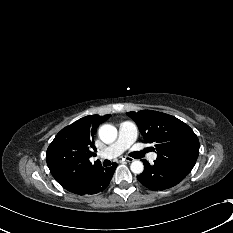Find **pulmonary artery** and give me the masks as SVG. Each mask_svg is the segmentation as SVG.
<instances>
[{
  "label": "pulmonary artery",
  "mask_w": 233,
  "mask_h": 233,
  "mask_svg": "<svg viewBox=\"0 0 233 233\" xmlns=\"http://www.w3.org/2000/svg\"><path fill=\"white\" fill-rule=\"evenodd\" d=\"M138 130L132 121H123L119 127V135L117 140L107 147L99 156L101 158L112 159L121 155L127 150L136 140ZM157 155L155 153L149 156L150 160H155Z\"/></svg>",
  "instance_id": "1"
}]
</instances>
